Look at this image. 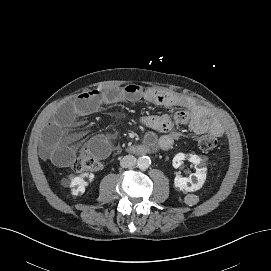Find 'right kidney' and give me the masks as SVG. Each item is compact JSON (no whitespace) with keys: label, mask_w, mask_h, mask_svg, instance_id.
I'll use <instances>...</instances> for the list:
<instances>
[{"label":"right kidney","mask_w":271,"mask_h":271,"mask_svg":"<svg viewBox=\"0 0 271 271\" xmlns=\"http://www.w3.org/2000/svg\"><path fill=\"white\" fill-rule=\"evenodd\" d=\"M84 177L88 178V182L84 180ZM94 180L93 173H85L80 176H76L71 180L72 194L79 195L85 192L86 187ZM76 187V188H75Z\"/></svg>","instance_id":"1"}]
</instances>
